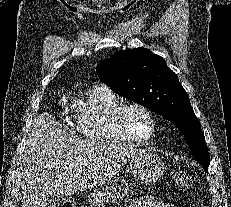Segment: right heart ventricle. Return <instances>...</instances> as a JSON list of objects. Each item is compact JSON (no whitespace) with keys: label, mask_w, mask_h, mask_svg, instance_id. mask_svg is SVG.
Instances as JSON below:
<instances>
[{"label":"right heart ventricle","mask_w":231,"mask_h":207,"mask_svg":"<svg viewBox=\"0 0 231 207\" xmlns=\"http://www.w3.org/2000/svg\"><path fill=\"white\" fill-rule=\"evenodd\" d=\"M123 104L107 86L94 85L87 98L74 109V127L84 138L98 142H130L117 124L116 112Z\"/></svg>","instance_id":"1"}]
</instances>
